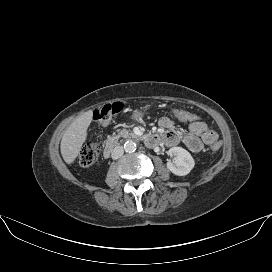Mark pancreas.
Instances as JSON below:
<instances>
[{"mask_svg":"<svg viewBox=\"0 0 272 272\" xmlns=\"http://www.w3.org/2000/svg\"><path fill=\"white\" fill-rule=\"evenodd\" d=\"M134 137V134L132 132H130L129 130H117V135L115 136L116 139L120 138V137Z\"/></svg>","mask_w":272,"mask_h":272,"instance_id":"obj_1","label":"pancreas"}]
</instances>
